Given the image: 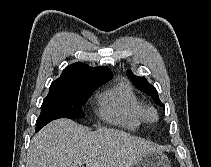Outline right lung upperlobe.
<instances>
[{
  "label": "right lung upper lobe",
  "mask_w": 211,
  "mask_h": 167,
  "mask_svg": "<svg viewBox=\"0 0 211 167\" xmlns=\"http://www.w3.org/2000/svg\"><path fill=\"white\" fill-rule=\"evenodd\" d=\"M113 76L108 67L92 68L77 62L67 66L61 76L51 83L50 88H63L88 81H108Z\"/></svg>",
  "instance_id": "1"
}]
</instances>
